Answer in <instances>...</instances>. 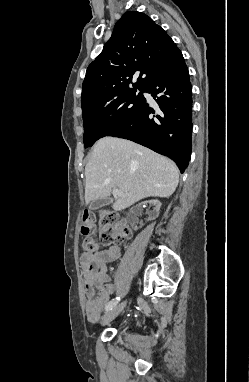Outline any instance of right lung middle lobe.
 <instances>
[{"mask_svg":"<svg viewBox=\"0 0 249 382\" xmlns=\"http://www.w3.org/2000/svg\"><path fill=\"white\" fill-rule=\"evenodd\" d=\"M128 91L112 100L96 101L82 108L85 148L128 123L139 111L143 89Z\"/></svg>","mask_w":249,"mask_h":382,"instance_id":"obj_1","label":"right lung middle lobe"}]
</instances>
